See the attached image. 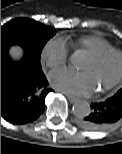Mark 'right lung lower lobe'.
I'll return each mask as SVG.
<instances>
[{
	"label": "right lung lower lobe",
	"mask_w": 122,
	"mask_h": 154,
	"mask_svg": "<svg viewBox=\"0 0 122 154\" xmlns=\"http://www.w3.org/2000/svg\"><path fill=\"white\" fill-rule=\"evenodd\" d=\"M51 91L41 68L25 54L12 62L7 49H1V116L12 124L36 120L45 109V97Z\"/></svg>",
	"instance_id": "obj_1"
}]
</instances>
